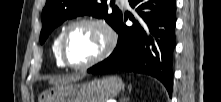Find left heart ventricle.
Masks as SVG:
<instances>
[{
	"label": "left heart ventricle",
	"mask_w": 221,
	"mask_h": 102,
	"mask_svg": "<svg viewBox=\"0 0 221 102\" xmlns=\"http://www.w3.org/2000/svg\"><path fill=\"white\" fill-rule=\"evenodd\" d=\"M103 44L104 37L96 27L86 24L75 26L66 40L67 60L74 65L84 64L101 51Z\"/></svg>",
	"instance_id": "b2bd125f"
}]
</instances>
